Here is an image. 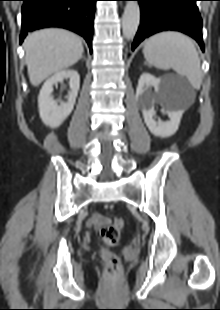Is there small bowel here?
<instances>
[{
	"label": "small bowel",
	"instance_id": "small-bowel-1",
	"mask_svg": "<svg viewBox=\"0 0 220 310\" xmlns=\"http://www.w3.org/2000/svg\"><path fill=\"white\" fill-rule=\"evenodd\" d=\"M107 221V219L98 214V213H95L91 216V219H90V224L93 225L94 227H100L102 226L105 222Z\"/></svg>",
	"mask_w": 220,
	"mask_h": 310
}]
</instances>
